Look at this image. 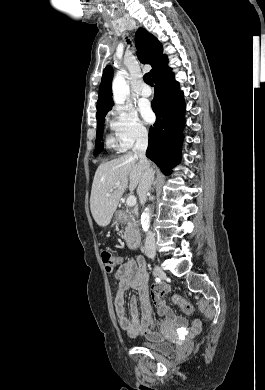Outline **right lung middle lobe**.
<instances>
[{"instance_id":"obj_1","label":"right lung middle lobe","mask_w":265,"mask_h":390,"mask_svg":"<svg viewBox=\"0 0 265 390\" xmlns=\"http://www.w3.org/2000/svg\"><path fill=\"white\" fill-rule=\"evenodd\" d=\"M105 115H102L101 117L97 118V136H96V145H95V151L94 154H98L103 149V143H101V137L104 127V118Z\"/></svg>"}]
</instances>
